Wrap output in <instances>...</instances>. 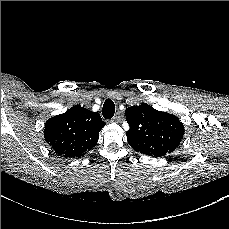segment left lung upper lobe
I'll return each instance as SVG.
<instances>
[{"label":"left lung upper lobe","instance_id":"left-lung-upper-lobe-1","mask_svg":"<svg viewBox=\"0 0 229 229\" xmlns=\"http://www.w3.org/2000/svg\"><path fill=\"white\" fill-rule=\"evenodd\" d=\"M130 129V146L145 155L161 157L173 152L184 135L183 123L175 115L161 112L143 103L125 110Z\"/></svg>","mask_w":229,"mask_h":229}]
</instances>
